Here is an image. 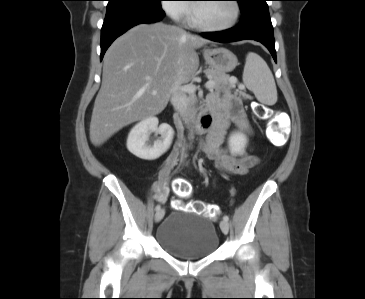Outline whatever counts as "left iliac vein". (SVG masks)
I'll return each instance as SVG.
<instances>
[{"label": "left iliac vein", "mask_w": 365, "mask_h": 299, "mask_svg": "<svg viewBox=\"0 0 365 299\" xmlns=\"http://www.w3.org/2000/svg\"><path fill=\"white\" fill-rule=\"evenodd\" d=\"M220 228L224 234H227L229 231V223L225 220L220 222Z\"/></svg>", "instance_id": "obj_1"}]
</instances>
